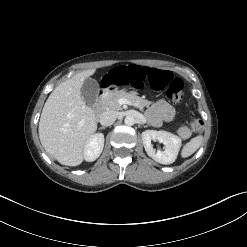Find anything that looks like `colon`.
Here are the masks:
<instances>
[{"mask_svg":"<svg viewBox=\"0 0 247 247\" xmlns=\"http://www.w3.org/2000/svg\"><path fill=\"white\" fill-rule=\"evenodd\" d=\"M101 85L109 91L117 90L121 85L128 87L144 86L148 89H166V95L173 103H179L185 96L183 82L179 78H174L170 71L158 70L156 67L134 63L115 64L106 69L100 77ZM189 124L195 133L202 129V121L191 112L189 114Z\"/></svg>","mask_w":247,"mask_h":247,"instance_id":"colon-1","label":"colon"}]
</instances>
